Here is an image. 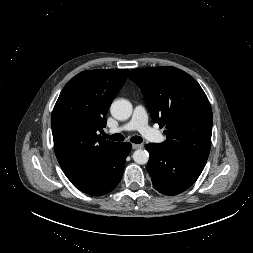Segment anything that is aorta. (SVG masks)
Listing matches in <instances>:
<instances>
[{"instance_id": "1", "label": "aorta", "mask_w": 253, "mask_h": 253, "mask_svg": "<svg viewBox=\"0 0 253 253\" xmlns=\"http://www.w3.org/2000/svg\"><path fill=\"white\" fill-rule=\"evenodd\" d=\"M132 104L126 99H118L111 104L110 112L117 120H127L132 114ZM133 160L137 164L144 165L149 160V153L146 150L138 149L133 153Z\"/></svg>"}]
</instances>
